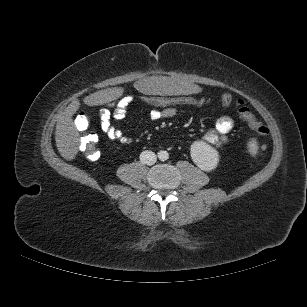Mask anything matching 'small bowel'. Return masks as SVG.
I'll return each instance as SVG.
<instances>
[{"mask_svg": "<svg viewBox=\"0 0 307 307\" xmlns=\"http://www.w3.org/2000/svg\"><path fill=\"white\" fill-rule=\"evenodd\" d=\"M133 96L124 95L118 98L115 102L110 103L102 108L99 113L100 127L102 132L113 141H118L123 144L131 142V138L126 136L123 131L113 124V120H122L127 115V103L131 101ZM176 115L175 107L168 108H153L150 111V118L153 121L161 119L173 118ZM234 121L229 115L220 116L215 123L213 129H210L204 137V140L216 147H222L228 140V134L232 130Z\"/></svg>", "mask_w": 307, "mask_h": 307, "instance_id": "1", "label": "small bowel"}]
</instances>
